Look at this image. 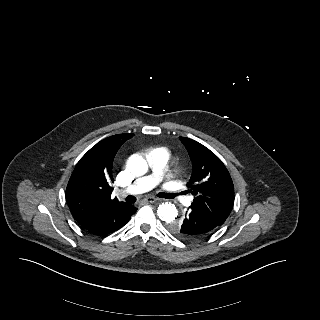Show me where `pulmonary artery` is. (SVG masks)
<instances>
[{"label": "pulmonary artery", "instance_id": "obj_1", "mask_svg": "<svg viewBox=\"0 0 320 320\" xmlns=\"http://www.w3.org/2000/svg\"><path fill=\"white\" fill-rule=\"evenodd\" d=\"M147 160L151 168V173L135 180L125 189L126 193L139 194L146 192L155 187L162 180L167 162L169 160L168 152L164 149L151 150L147 154ZM179 196V194H176L175 197Z\"/></svg>", "mask_w": 320, "mask_h": 320}]
</instances>
